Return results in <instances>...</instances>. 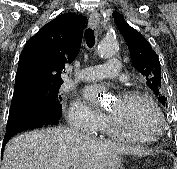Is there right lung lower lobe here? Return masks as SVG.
<instances>
[{
    "label": "right lung lower lobe",
    "instance_id": "98d812e1",
    "mask_svg": "<svg viewBox=\"0 0 177 169\" xmlns=\"http://www.w3.org/2000/svg\"><path fill=\"white\" fill-rule=\"evenodd\" d=\"M61 115L62 113L57 114L56 112H52L48 109L33 108L30 106H16L15 108L10 107L2 147L6 145L12 136L20 131L46 125L59 124V118Z\"/></svg>",
    "mask_w": 177,
    "mask_h": 169
}]
</instances>
